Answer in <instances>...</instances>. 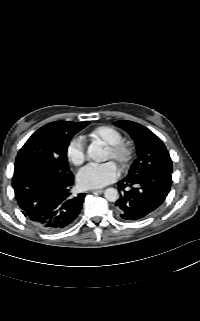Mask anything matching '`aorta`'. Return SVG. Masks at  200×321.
I'll use <instances>...</instances> for the list:
<instances>
[{"label":"aorta","mask_w":200,"mask_h":321,"mask_svg":"<svg viewBox=\"0 0 200 321\" xmlns=\"http://www.w3.org/2000/svg\"><path fill=\"white\" fill-rule=\"evenodd\" d=\"M88 156L97 162L105 159V152L99 143L94 142L88 147ZM104 197L110 202H115L119 199L118 191L115 188H107L104 192Z\"/></svg>","instance_id":"aorta-1"}]
</instances>
